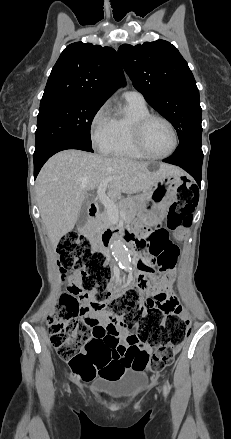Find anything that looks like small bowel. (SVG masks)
Wrapping results in <instances>:
<instances>
[{
	"label": "small bowel",
	"instance_id": "small-bowel-1",
	"mask_svg": "<svg viewBox=\"0 0 231 439\" xmlns=\"http://www.w3.org/2000/svg\"><path fill=\"white\" fill-rule=\"evenodd\" d=\"M131 241H136L133 234L128 235ZM138 250L146 249L141 263L151 264L160 253L168 249H176L166 229H157L148 235L147 241H136ZM172 269V268H171ZM171 269L160 280L152 279L156 289L149 291V298L146 299L145 308L159 306L163 310L171 309L177 304V297L172 293L173 274ZM78 291V297L83 303L80 310L81 320L89 326L92 332L91 344L103 343L119 353L120 359L128 357L130 352L145 351L149 349L140 343L138 336L129 332L127 327L120 321L114 319L103 307H95L92 304L91 294L81 290V275L74 273L71 278L69 291ZM122 286L116 283L113 287V294H119ZM127 368H132L131 364Z\"/></svg>",
	"mask_w": 231,
	"mask_h": 439
}]
</instances>
